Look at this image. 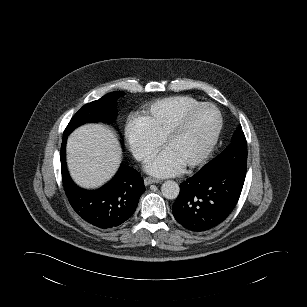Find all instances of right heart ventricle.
<instances>
[{
	"label": "right heart ventricle",
	"mask_w": 307,
	"mask_h": 307,
	"mask_svg": "<svg viewBox=\"0 0 307 307\" xmlns=\"http://www.w3.org/2000/svg\"><path fill=\"white\" fill-rule=\"evenodd\" d=\"M198 103L197 99L188 95L166 97L151 103L142 118L153 134L162 140L183 112Z\"/></svg>",
	"instance_id": "1"
}]
</instances>
